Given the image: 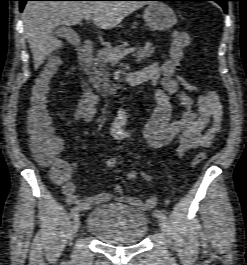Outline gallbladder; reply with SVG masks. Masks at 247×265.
Segmentation results:
<instances>
[{"instance_id":"gallbladder-1","label":"gallbladder","mask_w":247,"mask_h":265,"mask_svg":"<svg viewBox=\"0 0 247 265\" xmlns=\"http://www.w3.org/2000/svg\"><path fill=\"white\" fill-rule=\"evenodd\" d=\"M70 32L71 30L66 27H60L54 30V34L59 38L65 37Z\"/></svg>"}]
</instances>
